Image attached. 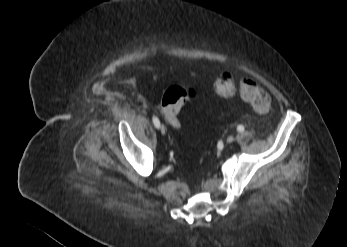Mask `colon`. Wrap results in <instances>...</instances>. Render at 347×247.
Masks as SVG:
<instances>
[{
    "label": "colon",
    "instance_id": "1",
    "mask_svg": "<svg viewBox=\"0 0 347 247\" xmlns=\"http://www.w3.org/2000/svg\"><path fill=\"white\" fill-rule=\"evenodd\" d=\"M216 93L223 98L231 97L236 90V83L228 72L222 73L214 83ZM239 91L242 97L248 101L253 109L259 113H265L270 108V96L266 90L259 87L252 80H244L239 83ZM195 96L190 88L179 85L168 87L161 99V110L168 120L169 125L175 130H181L179 114L184 104Z\"/></svg>",
    "mask_w": 347,
    "mask_h": 247
}]
</instances>
